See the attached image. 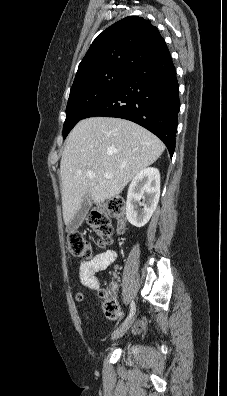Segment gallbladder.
Instances as JSON below:
<instances>
[{
	"label": "gallbladder",
	"instance_id": "bac80fb5",
	"mask_svg": "<svg viewBox=\"0 0 227 396\" xmlns=\"http://www.w3.org/2000/svg\"><path fill=\"white\" fill-rule=\"evenodd\" d=\"M91 197L89 195H85L82 200V204L79 210L76 212L74 217L68 223L66 227L67 232L75 231L81 224L83 223L89 209L91 208Z\"/></svg>",
	"mask_w": 227,
	"mask_h": 396
}]
</instances>
